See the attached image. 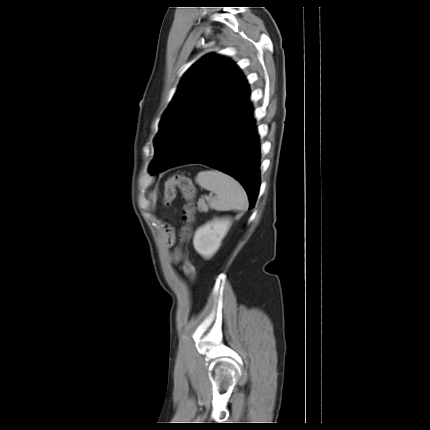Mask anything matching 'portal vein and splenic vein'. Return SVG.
<instances>
[{
  "mask_svg": "<svg viewBox=\"0 0 430 430\" xmlns=\"http://www.w3.org/2000/svg\"><path fill=\"white\" fill-rule=\"evenodd\" d=\"M212 196V194H209V197H211Z\"/></svg>",
  "mask_w": 430,
  "mask_h": 430,
  "instance_id": "1",
  "label": "portal vein and splenic vein"
}]
</instances>
